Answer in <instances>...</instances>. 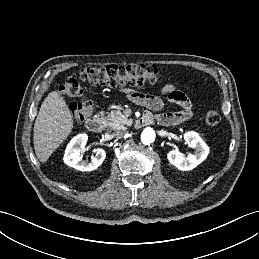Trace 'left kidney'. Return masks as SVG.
Here are the masks:
<instances>
[{
    "label": "left kidney",
    "mask_w": 259,
    "mask_h": 259,
    "mask_svg": "<svg viewBox=\"0 0 259 259\" xmlns=\"http://www.w3.org/2000/svg\"><path fill=\"white\" fill-rule=\"evenodd\" d=\"M184 139L189 147L194 148V154L184 157L179 150H171L167 154V159L176 168L182 171L194 169L198 164L202 163L209 154V147L201 139L198 133L194 131L186 132Z\"/></svg>",
    "instance_id": "obj_1"
}]
</instances>
